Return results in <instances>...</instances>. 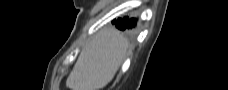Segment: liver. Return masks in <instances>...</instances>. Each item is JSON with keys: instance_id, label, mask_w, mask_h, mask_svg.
<instances>
[{"instance_id": "liver-1", "label": "liver", "mask_w": 228, "mask_h": 90, "mask_svg": "<svg viewBox=\"0 0 228 90\" xmlns=\"http://www.w3.org/2000/svg\"><path fill=\"white\" fill-rule=\"evenodd\" d=\"M127 49L128 41L118 30H101L81 51L66 86L70 90H101L113 79Z\"/></svg>"}]
</instances>
